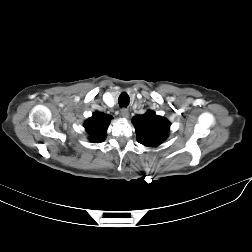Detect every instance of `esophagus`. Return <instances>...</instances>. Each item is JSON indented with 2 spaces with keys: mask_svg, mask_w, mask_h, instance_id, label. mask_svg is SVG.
<instances>
[{
  "mask_svg": "<svg viewBox=\"0 0 252 252\" xmlns=\"http://www.w3.org/2000/svg\"><path fill=\"white\" fill-rule=\"evenodd\" d=\"M120 114H121V116L123 118H128L129 117V111L126 108H122Z\"/></svg>",
  "mask_w": 252,
  "mask_h": 252,
  "instance_id": "esophagus-1",
  "label": "esophagus"
}]
</instances>
